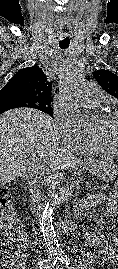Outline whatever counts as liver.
<instances>
[{"mask_svg": "<svg viewBox=\"0 0 118 269\" xmlns=\"http://www.w3.org/2000/svg\"><path fill=\"white\" fill-rule=\"evenodd\" d=\"M95 163L58 146L57 127L47 114L18 108L0 115V186L30 172L53 174Z\"/></svg>", "mask_w": 118, "mask_h": 269, "instance_id": "1", "label": "liver"}]
</instances>
